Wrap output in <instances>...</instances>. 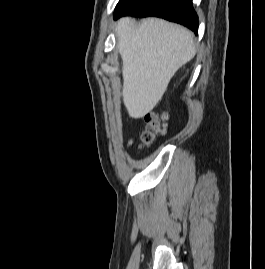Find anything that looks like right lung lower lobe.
I'll return each mask as SVG.
<instances>
[{"mask_svg":"<svg viewBox=\"0 0 265 269\" xmlns=\"http://www.w3.org/2000/svg\"><path fill=\"white\" fill-rule=\"evenodd\" d=\"M131 15L136 17L156 16L182 24L197 34L198 17L192 0H120L114 18Z\"/></svg>","mask_w":265,"mask_h":269,"instance_id":"obj_1","label":"right lung lower lobe"}]
</instances>
